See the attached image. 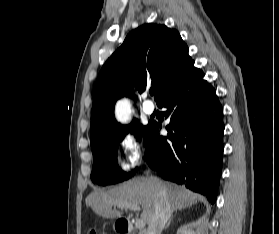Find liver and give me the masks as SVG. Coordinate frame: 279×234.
<instances>
[{"mask_svg": "<svg viewBox=\"0 0 279 234\" xmlns=\"http://www.w3.org/2000/svg\"><path fill=\"white\" fill-rule=\"evenodd\" d=\"M160 187L165 189L172 211L190 207L203 200L201 196L176 184L154 180L152 177H137L110 191H95L87 196L85 202L98 216L106 219L122 217L123 213L115 209L120 203L141 205V219L148 224L154 215Z\"/></svg>", "mask_w": 279, "mask_h": 234, "instance_id": "6515ba94", "label": "liver"}]
</instances>
